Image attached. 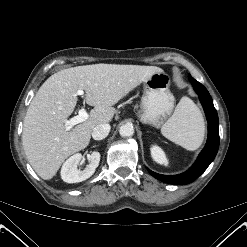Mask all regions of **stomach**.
I'll list each match as a JSON object with an SVG mask.
<instances>
[{
    "label": "stomach",
    "mask_w": 247,
    "mask_h": 247,
    "mask_svg": "<svg viewBox=\"0 0 247 247\" xmlns=\"http://www.w3.org/2000/svg\"><path fill=\"white\" fill-rule=\"evenodd\" d=\"M170 76L163 70L143 82L139 118L142 123L160 127L172 114L175 98L170 92Z\"/></svg>",
    "instance_id": "0dacf381"
}]
</instances>
